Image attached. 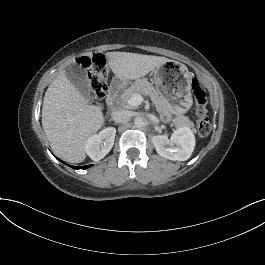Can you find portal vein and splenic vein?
<instances>
[{"mask_svg":"<svg viewBox=\"0 0 265 265\" xmlns=\"http://www.w3.org/2000/svg\"><path fill=\"white\" fill-rule=\"evenodd\" d=\"M142 102H144V97H142V95L140 94H135L130 97V99L126 102V104L127 106H130V107H137ZM157 112L159 114L160 119L166 122L167 120L164 118L163 113L159 107H157Z\"/></svg>","mask_w":265,"mask_h":265,"instance_id":"1","label":"portal vein and splenic vein"}]
</instances>
